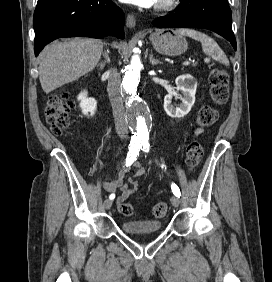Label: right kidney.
Instances as JSON below:
<instances>
[{
    "label": "right kidney",
    "mask_w": 272,
    "mask_h": 282,
    "mask_svg": "<svg viewBox=\"0 0 272 282\" xmlns=\"http://www.w3.org/2000/svg\"><path fill=\"white\" fill-rule=\"evenodd\" d=\"M80 108L84 115L93 116L97 109V101L94 98L88 97L87 91L79 94Z\"/></svg>",
    "instance_id": "obj_1"
}]
</instances>
